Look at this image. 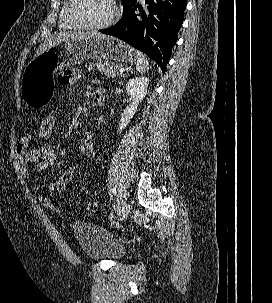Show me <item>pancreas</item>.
I'll use <instances>...</instances> for the list:
<instances>
[{
  "mask_svg": "<svg viewBox=\"0 0 272 303\" xmlns=\"http://www.w3.org/2000/svg\"><path fill=\"white\" fill-rule=\"evenodd\" d=\"M86 67L89 71L97 69L108 77H116L122 75V73L119 72V69L122 68V65L108 61L98 60L97 62L89 63V65Z\"/></svg>",
  "mask_w": 272,
  "mask_h": 303,
  "instance_id": "1",
  "label": "pancreas"
}]
</instances>
